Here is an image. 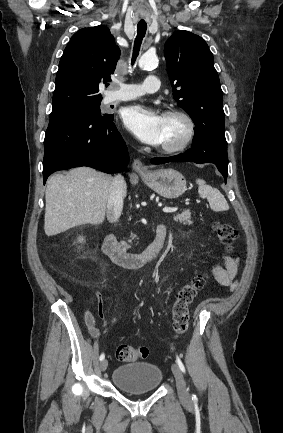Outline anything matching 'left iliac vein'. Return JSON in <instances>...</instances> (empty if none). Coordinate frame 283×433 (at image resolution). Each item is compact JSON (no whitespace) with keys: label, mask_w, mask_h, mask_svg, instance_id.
I'll return each instance as SVG.
<instances>
[{"label":"left iliac vein","mask_w":283,"mask_h":433,"mask_svg":"<svg viewBox=\"0 0 283 433\" xmlns=\"http://www.w3.org/2000/svg\"><path fill=\"white\" fill-rule=\"evenodd\" d=\"M172 371H173L174 377L176 379L179 398L182 400L183 404L190 406L191 405V398H190L183 374H182L179 366L177 364L173 363L172 364Z\"/></svg>","instance_id":"obj_1"}]
</instances>
